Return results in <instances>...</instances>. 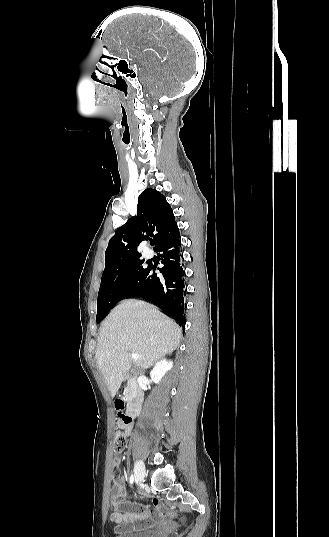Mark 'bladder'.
Here are the masks:
<instances>
[{
	"label": "bladder",
	"mask_w": 329,
	"mask_h": 537,
	"mask_svg": "<svg viewBox=\"0 0 329 537\" xmlns=\"http://www.w3.org/2000/svg\"><path fill=\"white\" fill-rule=\"evenodd\" d=\"M115 537H155V533L151 530H140L118 533Z\"/></svg>",
	"instance_id": "1"
}]
</instances>
